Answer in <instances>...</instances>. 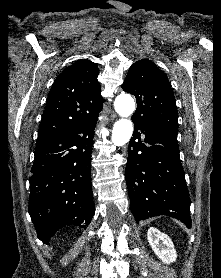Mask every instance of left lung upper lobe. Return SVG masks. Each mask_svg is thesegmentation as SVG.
<instances>
[{
	"mask_svg": "<svg viewBox=\"0 0 221 278\" xmlns=\"http://www.w3.org/2000/svg\"><path fill=\"white\" fill-rule=\"evenodd\" d=\"M136 97L132 120L149 128L178 129L176 101L165 74L150 60L134 63L122 84Z\"/></svg>",
	"mask_w": 221,
	"mask_h": 278,
	"instance_id": "obj_1",
	"label": "left lung upper lobe"
}]
</instances>
